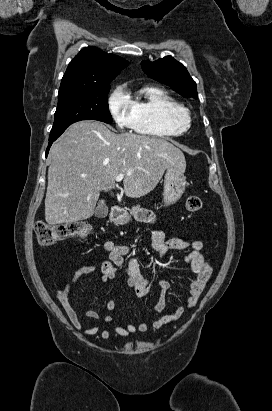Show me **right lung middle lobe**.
<instances>
[{
    "instance_id": "obj_1",
    "label": "right lung middle lobe",
    "mask_w": 272,
    "mask_h": 411,
    "mask_svg": "<svg viewBox=\"0 0 272 411\" xmlns=\"http://www.w3.org/2000/svg\"><path fill=\"white\" fill-rule=\"evenodd\" d=\"M109 91L110 83L90 89L59 92L49 139L59 137L69 125L81 120H98L111 124L107 100Z\"/></svg>"
}]
</instances>
